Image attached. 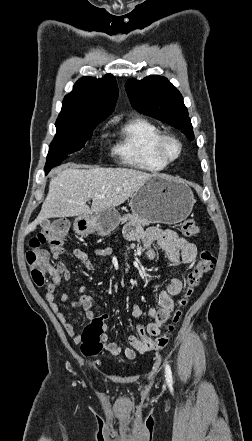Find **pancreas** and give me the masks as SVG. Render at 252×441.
Masks as SVG:
<instances>
[{
	"label": "pancreas",
	"instance_id": "obj_1",
	"mask_svg": "<svg viewBox=\"0 0 252 441\" xmlns=\"http://www.w3.org/2000/svg\"><path fill=\"white\" fill-rule=\"evenodd\" d=\"M121 220L123 222L136 221L142 225H148L150 223L148 220L141 218L139 215H137L135 213L125 215V216H123V218Z\"/></svg>",
	"mask_w": 252,
	"mask_h": 441
}]
</instances>
